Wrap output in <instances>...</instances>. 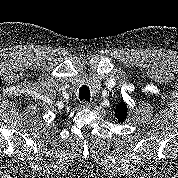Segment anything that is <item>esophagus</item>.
Listing matches in <instances>:
<instances>
[{
  "label": "esophagus",
  "mask_w": 178,
  "mask_h": 178,
  "mask_svg": "<svg viewBox=\"0 0 178 178\" xmlns=\"http://www.w3.org/2000/svg\"><path fill=\"white\" fill-rule=\"evenodd\" d=\"M80 107L81 108H90V107H92V103L84 100L80 103Z\"/></svg>",
  "instance_id": "1"
}]
</instances>
